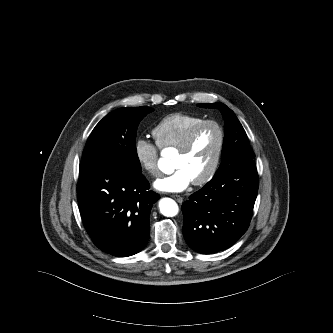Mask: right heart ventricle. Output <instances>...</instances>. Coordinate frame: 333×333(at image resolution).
Here are the masks:
<instances>
[{
  "mask_svg": "<svg viewBox=\"0 0 333 333\" xmlns=\"http://www.w3.org/2000/svg\"><path fill=\"white\" fill-rule=\"evenodd\" d=\"M204 120L203 117L184 113L167 115L158 122L152 131L156 144L161 149H177L190 130Z\"/></svg>",
  "mask_w": 333,
  "mask_h": 333,
  "instance_id": "obj_1",
  "label": "right heart ventricle"
}]
</instances>
